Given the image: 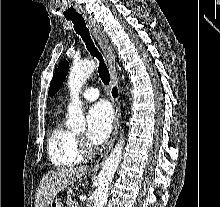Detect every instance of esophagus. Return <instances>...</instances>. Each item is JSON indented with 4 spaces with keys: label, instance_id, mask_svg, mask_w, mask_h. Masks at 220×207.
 <instances>
[{
    "label": "esophagus",
    "instance_id": "obj_1",
    "mask_svg": "<svg viewBox=\"0 0 220 207\" xmlns=\"http://www.w3.org/2000/svg\"><path fill=\"white\" fill-rule=\"evenodd\" d=\"M88 26L90 27L93 35L96 38L99 46L102 49V52L106 58L109 72H110V79L112 87L117 84V73H116V62H115V53L113 50L112 45L109 43V39L107 38L106 34L101 29L99 23L89 15H84ZM111 102L114 108V123H113V132L111 138L108 142L106 149L104 150L103 154L98 158L93 166V171H98V169L103 165L105 159L107 158L109 152L113 148L114 142L117 138L119 127H120V117H121V110L120 104L113 96H111Z\"/></svg>",
    "mask_w": 220,
    "mask_h": 207
}]
</instances>
